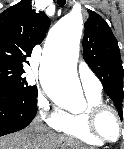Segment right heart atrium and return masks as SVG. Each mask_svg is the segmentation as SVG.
<instances>
[{"label": "right heart atrium", "instance_id": "right-heart-atrium-1", "mask_svg": "<svg viewBox=\"0 0 124 149\" xmlns=\"http://www.w3.org/2000/svg\"><path fill=\"white\" fill-rule=\"evenodd\" d=\"M37 107L39 116L49 128L57 130L63 124L66 112L47 97L41 95Z\"/></svg>", "mask_w": 124, "mask_h": 149}]
</instances>
